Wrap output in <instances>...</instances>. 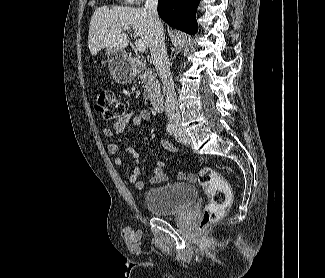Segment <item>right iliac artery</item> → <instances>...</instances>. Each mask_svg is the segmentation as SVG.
Listing matches in <instances>:
<instances>
[{
	"label": "right iliac artery",
	"instance_id": "1",
	"mask_svg": "<svg viewBox=\"0 0 325 278\" xmlns=\"http://www.w3.org/2000/svg\"><path fill=\"white\" fill-rule=\"evenodd\" d=\"M175 131V126L172 124H169L167 126V132L171 135Z\"/></svg>",
	"mask_w": 325,
	"mask_h": 278
}]
</instances>
